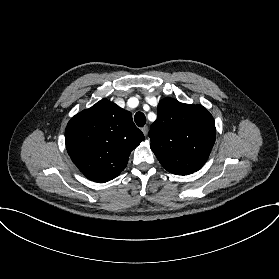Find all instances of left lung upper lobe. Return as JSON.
Listing matches in <instances>:
<instances>
[{
  "instance_id": "5c2ea615",
  "label": "left lung upper lobe",
  "mask_w": 279,
  "mask_h": 279,
  "mask_svg": "<svg viewBox=\"0 0 279 279\" xmlns=\"http://www.w3.org/2000/svg\"><path fill=\"white\" fill-rule=\"evenodd\" d=\"M148 135L161 165L170 173L188 175L207 161L216 129L212 115L203 106L165 98L159 102L157 120Z\"/></svg>"
}]
</instances>
